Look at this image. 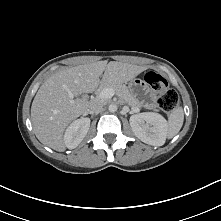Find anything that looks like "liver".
<instances>
[{"mask_svg": "<svg viewBox=\"0 0 221 221\" xmlns=\"http://www.w3.org/2000/svg\"><path fill=\"white\" fill-rule=\"evenodd\" d=\"M144 70V67L128 63L98 61L51 75L40 86L31 106L32 126L37 139L63 152L66 127L87 113L91 105L86 99H74V96L92 93L99 84L127 83Z\"/></svg>", "mask_w": 221, "mask_h": 221, "instance_id": "liver-1", "label": "liver"}]
</instances>
